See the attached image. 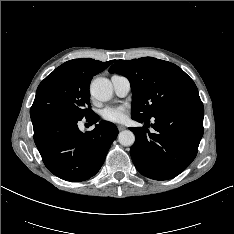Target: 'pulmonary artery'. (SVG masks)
I'll return each mask as SVG.
<instances>
[{"label": "pulmonary artery", "mask_w": 234, "mask_h": 234, "mask_svg": "<svg viewBox=\"0 0 234 234\" xmlns=\"http://www.w3.org/2000/svg\"><path fill=\"white\" fill-rule=\"evenodd\" d=\"M116 94L120 97L126 96L131 90V84L128 78L122 75H113L111 77Z\"/></svg>", "instance_id": "pulmonary-artery-1"}]
</instances>
